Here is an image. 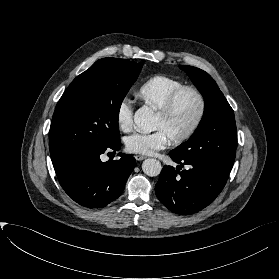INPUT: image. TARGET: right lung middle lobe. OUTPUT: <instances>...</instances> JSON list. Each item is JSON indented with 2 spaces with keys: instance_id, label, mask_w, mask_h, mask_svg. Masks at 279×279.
<instances>
[{
  "instance_id": "right-lung-middle-lobe-1",
  "label": "right lung middle lobe",
  "mask_w": 279,
  "mask_h": 279,
  "mask_svg": "<svg viewBox=\"0 0 279 279\" xmlns=\"http://www.w3.org/2000/svg\"><path fill=\"white\" fill-rule=\"evenodd\" d=\"M141 69V64L127 59L103 58L72 81L52 117V160L93 151L120 139V106Z\"/></svg>"
}]
</instances>
